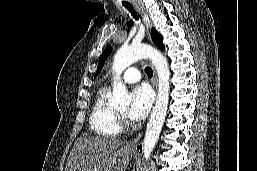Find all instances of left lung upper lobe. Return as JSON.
Instances as JSON below:
<instances>
[{
    "label": "left lung upper lobe",
    "mask_w": 257,
    "mask_h": 171,
    "mask_svg": "<svg viewBox=\"0 0 257 171\" xmlns=\"http://www.w3.org/2000/svg\"><path fill=\"white\" fill-rule=\"evenodd\" d=\"M151 37H152V40L153 42L155 43L156 46H158L159 48L161 49H164V45L162 44V36L161 34H159L155 28L152 29V32H151ZM111 52V47H107L103 53L101 54L100 58H99V61H98V68H97V71H96V74H95V77L96 75H98L100 72H101V69L103 68L104 66V63H105V60L107 59V57L109 56Z\"/></svg>",
    "instance_id": "obj_1"
}]
</instances>
